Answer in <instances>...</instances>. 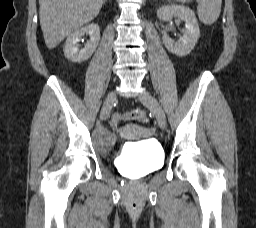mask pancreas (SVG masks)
<instances>
[{"instance_id":"obj_1","label":"pancreas","mask_w":256,"mask_h":228,"mask_svg":"<svg viewBox=\"0 0 256 228\" xmlns=\"http://www.w3.org/2000/svg\"><path fill=\"white\" fill-rule=\"evenodd\" d=\"M179 1L184 2V3H189V2H191V0H179Z\"/></svg>"}]
</instances>
